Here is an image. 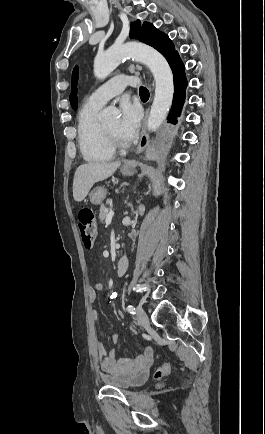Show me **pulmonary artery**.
<instances>
[{"label":"pulmonary artery","instance_id":"obj_1","mask_svg":"<svg viewBox=\"0 0 265 434\" xmlns=\"http://www.w3.org/2000/svg\"><path fill=\"white\" fill-rule=\"evenodd\" d=\"M134 83L140 82L139 76L133 77ZM130 83V76L119 74L115 77L109 79L108 81H104L103 85L96 87L95 90L89 95L90 103H97L103 105L106 103L107 99L110 96H115V94L120 93L123 90L127 89V84Z\"/></svg>","mask_w":265,"mask_h":434}]
</instances>
